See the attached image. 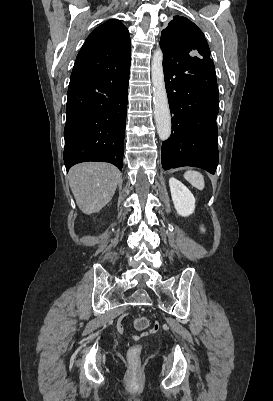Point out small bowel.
<instances>
[{"label": "small bowel", "instance_id": "obj_1", "mask_svg": "<svg viewBox=\"0 0 273 401\" xmlns=\"http://www.w3.org/2000/svg\"><path fill=\"white\" fill-rule=\"evenodd\" d=\"M124 316H125V318H127V319H130V318H132V316H133V313H132V311H130V310H127V311H125V313H124ZM140 317H138V318H136V320L135 321H137L138 319H139ZM123 317L122 316H119L118 318H116L115 319V324H116V328L118 329V333L119 334H124L125 335V333H126V328L125 327H123ZM160 328H161V323H160V320L159 319H156L155 320V322L153 323V327H151L150 328V330H149V332L151 333V334H158L159 332H160ZM140 331V330H139ZM149 332L148 331H141L140 332V337L141 338H148L149 337Z\"/></svg>", "mask_w": 273, "mask_h": 401}]
</instances>
